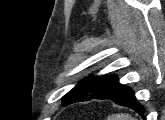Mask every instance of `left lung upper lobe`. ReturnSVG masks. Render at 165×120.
Returning a JSON list of instances; mask_svg holds the SVG:
<instances>
[{
  "label": "left lung upper lobe",
  "mask_w": 165,
  "mask_h": 120,
  "mask_svg": "<svg viewBox=\"0 0 165 120\" xmlns=\"http://www.w3.org/2000/svg\"><path fill=\"white\" fill-rule=\"evenodd\" d=\"M121 84L116 76H90L82 80L62 99V104L67 106L74 102L88 101L92 98L104 99L116 91Z\"/></svg>",
  "instance_id": "obj_1"
}]
</instances>
